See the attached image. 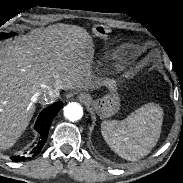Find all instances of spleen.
Returning a JSON list of instances; mask_svg holds the SVG:
<instances>
[{
  "label": "spleen",
  "mask_w": 183,
  "mask_h": 183,
  "mask_svg": "<svg viewBox=\"0 0 183 183\" xmlns=\"http://www.w3.org/2000/svg\"><path fill=\"white\" fill-rule=\"evenodd\" d=\"M161 109L145 103L125 119H104L101 131L108 145L122 158L135 160L155 145L161 125Z\"/></svg>",
  "instance_id": "1"
}]
</instances>
